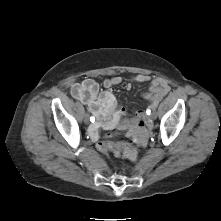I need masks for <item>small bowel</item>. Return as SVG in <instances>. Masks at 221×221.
Listing matches in <instances>:
<instances>
[{
  "mask_svg": "<svg viewBox=\"0 0 221 221\" xmlns=\"http://www.w3.org/2000/svg\"><path fill=\"white\" fill-rule=\"evenodd\" d=\"M135 83H145L150 81L149 91L144 97L151 102L166 95L170 89L168 82L160 77L151 79L144 74H137L132 78ZM122 82L120 76L107 78L103 82L105 90L99 92L98 84L92 79H86L81 83H75L71 87V95L78 101L85 104L88 110L95 116L96 122L89 128L90 137L98 140L100 131L111 132L118 126L129 111L120 106L117 98L110 92V88ZM143 112H137L134 122H143ZM125 128V127H124Z\"/></svg>",
  "mask_w": 221,
  "mask_h": 221,
  "instance_id": "c3829d8e",
  "label": "small bowel"
}]
</instances>
